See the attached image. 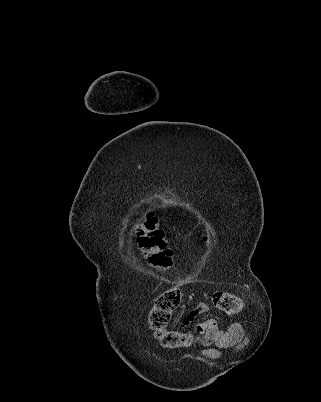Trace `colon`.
<instances>
[{
	"mask_svg": "<svg viewBox=\"0 0 321 402\" xmlns=\"http://www.w3.org/2000/svg\"><path fill=\"white\" fill-rule=\"evenodd\" d=\"M141 249L149 256L152 266L167 269L172 262V251L164 237L163 231L157 227V218L149 212L146 219L136 227ZM212 303L216 309L228 315H236L243 309L239 296L227 291H216L212 294ZM181 302V293L177 288H170L156 297L148 314V323L160 343L171 349L190 346L195 337L189 333L169 330L168 323Z\"/></svg>",
	"mask_w": 321,
	"mask_h": 402,
	"instance_id": "colon-1",
	"label": "colon"
}]
</instances>
